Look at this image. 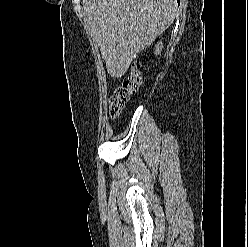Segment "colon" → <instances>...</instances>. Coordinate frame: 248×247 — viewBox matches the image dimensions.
<instances>
[{
    "label": "colon",
    "instance_id": "obj_1",
    "mask_svg": "<svg viewBox=\"0 0 248 247\" xmlns=\"http://www.w3.org/2000/svg\"><path fill=\"white\" fill-rule=\"evenodd\" d=\"M141 72L137 62L133 63L128 76L115 90L110 100V114L117 117L131 97L136 94L141 85Z\"/></svg>",
    "mask_w": 248,
    "mask_h": 247
}]
</instances>
